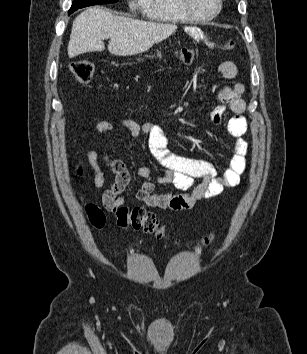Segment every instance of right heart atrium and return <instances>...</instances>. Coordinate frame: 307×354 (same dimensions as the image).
Here are the masks:
<instances>
[{
    "label": "right heart atrium",
    "instance_id": "d8ad5b80",
    "mask_svg": "<svg viewBox=\"0 0 307 354\" xmlns=\"http://www.w3.org/2000/svg\"><path fill=\"white\" fill-rule=\"evenodd\" d=\"M143 0H131V5L138 6L142 5Z\"/></svg>",
    "mask_w": 307,
    "mask_h": 354
}]
</instances>
